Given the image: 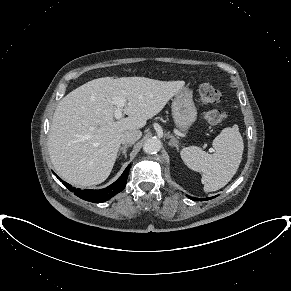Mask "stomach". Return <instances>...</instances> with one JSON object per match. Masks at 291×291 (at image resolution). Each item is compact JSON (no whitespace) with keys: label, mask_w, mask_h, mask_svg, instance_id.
Masks as SVG:
<instances>
[{"label":"stomach","mask_w":291,"mask_h":291,"mask_svg":"<svg viewBox=\"0 0 291 291\" xmlns=\"http://www.w3.org/2000/svg\"><path fill=\"white\" fill-rule=\"evenodd\" d=\"M172 116L178 129L187 132L197 118V110L188 88L178 91L172 100Z\"/></svg>","instance_id":"stomach-1"}]
</instances>
